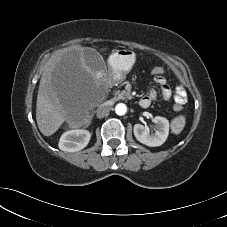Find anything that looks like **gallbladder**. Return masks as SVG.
<instances>
[{"instance_id":"1","label":"gallbladder","mask_w":227,"mask_h":227,"mask_svg":"<svg viewBox=\"0 0 227 227\" xmlns=\"http://www.w3.org/2000/svg\"><path fill=\"white\" fill-rule=\"evenodd\" d=\"M84 60L86 65L96 74L103 73L107 69L103 57L94 49L87 48L84 50Z\"/></svg>"}]
</instances>
